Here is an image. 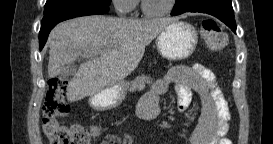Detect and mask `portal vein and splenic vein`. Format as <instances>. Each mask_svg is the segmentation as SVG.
Here are the masks:
<instances>
[{"label": "portal vein and splenic vein", "instance_id": "obj_1", "mask_svg": "<svg viewBox=\"0 0 273 144\" xmlns=\"http://www.w3.org/2000/svg\"><path fill=\"white\" fill-rule=\"evenodd\" d=\"M101 53V51H98L97 53H95L94 55H90V57H95V56H97L98 54H100Z\"/></svg>", "mask_w": 273, "mask_h": 144}]
</instances>
